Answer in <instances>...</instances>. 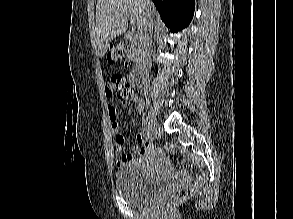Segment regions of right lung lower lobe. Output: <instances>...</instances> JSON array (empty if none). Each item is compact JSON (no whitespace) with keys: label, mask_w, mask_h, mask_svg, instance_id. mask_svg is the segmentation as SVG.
<instances>
[{"label":"right lung lower lobe","mask_w":293,"mask_h":219,"mask_svg":"<svg viewBox=\"0 0 293 219\" xmlns=\"http://www.w3.org/2000/svg\"><path fill=\"white\" fill-rule=\"evenodd\" d=\"M162 21L172 32L187 27L192 20L195 0H152Z\"/></svg>","instance_id":"1"}]
</instances>
